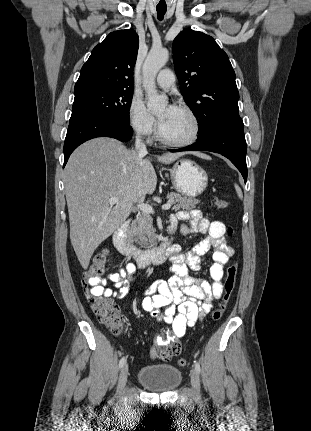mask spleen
Here are the masks:
<instances>
[{
    "mask_svg": "<svg viewBox=\"0 0 311 431\" xmlns=\"http://www.w3.org/2000/svg\"><path fill=\"white\" fill-rule=\"evenodd\" d=\"M234 188L236 190V194H237L238 198H240V200H242L243 194H242L241 188H239V186H237V184H234Z\"/></svg>",
    "mask_w": 311,
    "mask_h": 431,
    "instance_id": "1",
    "label": "spleen"
}]
</instances>
